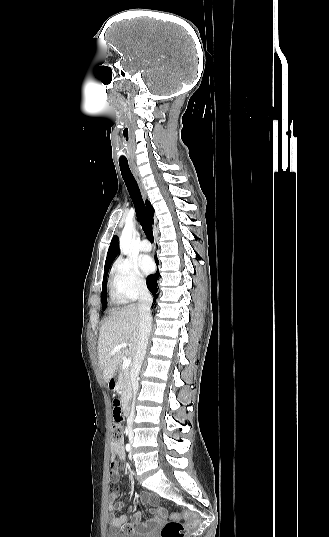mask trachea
Instances as JSON below:
<instances>
[{
	"instance_id": "3493384b",
	"label": "trachea",
	"mask_w": 329,
	"mask_h": 537,
	"mask_svg": "<svg viewBox=\"0 0 329 537\" xmlns=\"http://www.w3.org/2000/svg\"><path fill=\"white\" fill-rule=\"evenodd\" d=\"M119 165H120L121 175L126 184L129 195L134 203L138 220L147 238L151 242H153L154 237H153L152 225L149 221L148 214H147L137 181L135 180L128 164L120 163Z\"/></svg>"
}]
</instances>
